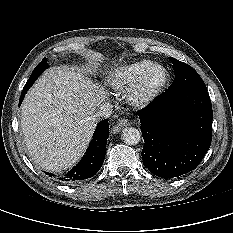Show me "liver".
<instances>
[{
    "label": "liver",
    "instance_id": "1",
    "mask_svg": "<svg viewBox=\"0 0 233 233\" xmlns=\"http://www.w3.org/2000/svg\"><path fill=\"white\" fill-rule=\"evenodd\" d=\"M104 89L73 67H53L31 87L21 106V128L30 160L49 172L74 165L85 152Z\"/></svg>",
    "mask_w": 233,
    "mask_h": 233
}]
</instances>
